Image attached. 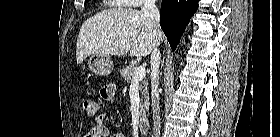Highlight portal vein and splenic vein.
<instances>
[{
    "mask_svg": "<svg viewBox=\"0 0 280 137\" xmlns=\"http://www.w3.org/2000/svg\"><path fill=\"white\" fill-rule=\"evenodd\" d=\"M146 71L144 66H138L133 74L132 83L141 81L145 77Z\"/></svg>",
    "mask_w": 280,
    "mask_h": 137,
    "instance_id": "18ae733b",
    "label": "portal vein and splenic vein"
}]
</instances>
